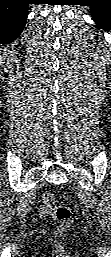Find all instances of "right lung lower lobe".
Returning a JSON list of instances; mask_svg holds the SVG:
<instances>
[{"label":"right lung lower lobe","instance_id":"right-lung-lower-lobe-1","mask_svg":"<svg viewBox=\"0 0 111 257\" xmlns=\"http://www.w3.org/2000/svg\"><path fill=\"white\" fill-rule=\"evenodd\" d=\"M29 0H0V44L15 40L24 29Z\"/></svg>","mask_w":111,"mask_h":257}]
</instances>
